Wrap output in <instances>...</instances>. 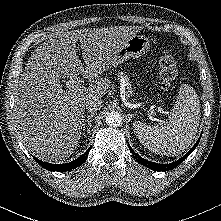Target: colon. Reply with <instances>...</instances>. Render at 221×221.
Wrapping results in <instances>:
<instances>
[{"mask_svg": "<svg viewBox=\"0 0 221 221\" xmlns=\"http://www.w3.org/2000/svg\"><path fill=\"white\" fill-rule=\"evenodd\" d=\"M178 73L177 62L174 56L165 52L159 60V78L161 87L170 88Z\"/></svg>", "mask_w": 221, "mask_h": 221, "instance_id": "1", "label": "colon"}]
</instances>
